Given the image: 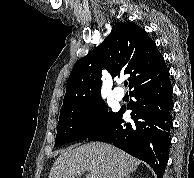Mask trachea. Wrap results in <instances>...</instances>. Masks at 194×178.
<instances>
[{
  "mask_svg": "<svg viewBox=\"0 0 194 178\" xmlns=\"http://www.w3.org/2000/svg\"><path fill=\"white\" fill-rule=\"evenodd\" d=\"M124 85H125V87H126V86L128 85V83H127V82H125V83H124Z\"/></svg>",
  "mask_w": 194,
  "mask_h": 178,
  "instance_id": "obj_1",
  "label": "trachea"
}]
</instances>
